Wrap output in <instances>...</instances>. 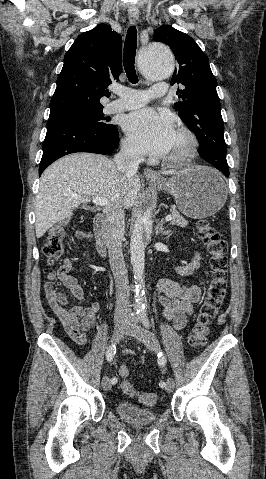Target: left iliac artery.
<instances>
[{"label": "left iliac artery", "mask_w": 266, "mask_h": 479, "mask_svg": "<svg viewBox=\"0 0 266 479\" xmlns=\"http://www.w3.org/2000/svg\"><path fill=\"white\" fill-rule=\"evenodd\" d=\"M142 322L144 324V326L149 329L150 325H149V321L148 319L146 318L145 315H142ZM158 362H159V365L161 366L162 369H165L166 368V357L164 356V354L162 352H160L158 354ZM159 386L160 387H165L166 386V383L164 381H160L159 383Z\"/></svg>", "instance_id": "left-iliac-artery-1"}]
</instances>
